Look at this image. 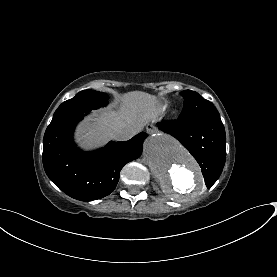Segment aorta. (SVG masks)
Instances as JSON below:
<instances>
[{
    "label": "aorta",
    "instance_id": "obj_1",
    "mask_svg": "<svg viewBox=\"0 0 277 277\" xmlns=\"http://www.w3.org/2000/svg\"><path fill=\"white\" fill-rule=\"evenodd\" d=\"M144 160L168 198L186 202L202 194L205 186L198 164L172 137L163 133L150 136L145 142Z\"/></svg>",
    "mask_w": 277,
    "mask_h": 277
}]
</instances>
